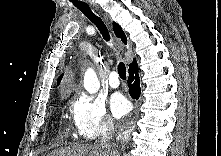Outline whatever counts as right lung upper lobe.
I'll return each mask as SVG.
<instances>
[{
	"mask_svg": "<svg viewBox=\"0 0 221 156\" xmlns=\"http://www.w3.org/2000/svg\"><path fill=\"white\" fill-rule=\"evenodd\" d=\"M113 29H114L115 35L118 38H120L124 44H127V39H126L125 33L123 32L121 27L117 23H115V22L113 23ZM134 64H137L135 59L133 60V62L130 65H134ZM62 76L63 75H61L60 78L57 81L58 85H59V83H60V81L62 79Z\"/></svg>",
	"mask_w": 221,
	"mask_h": 156,
	"instance_id": "obj_1",
	"label": "right lung upper lobe"
}]
</instances>
